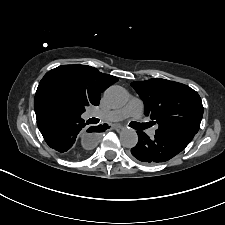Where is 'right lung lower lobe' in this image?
<instances>
[{"label": "right lung lower lobe", "instance_id": "98d812e1", "mask_svg": "<svg viewBox=\"0 0 225 225\" xmlns=\"http://www.w3.org/2000/svg\"><path fill=\"white\" fill-rule=\"evenodd\" d=\"M37 125L43 138L49 147L70 159H81L91 144L84 145V151H80L76 145L79 136L85 130L87 123L81 118V114L72 112L44 97L34 99ZM108 125L90 127L88 132H101ZM95 133L91 136L95 137Z\"/></svg>", "mask_w": 225, "mask_h": 225}]
</instances>
